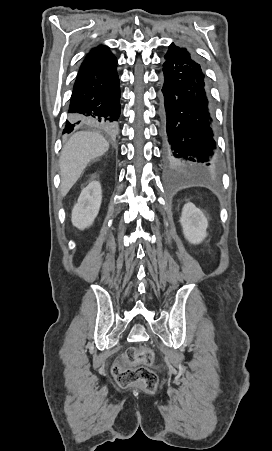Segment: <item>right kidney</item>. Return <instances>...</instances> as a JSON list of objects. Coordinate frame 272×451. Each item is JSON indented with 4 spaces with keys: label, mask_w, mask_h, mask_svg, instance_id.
<instances>
[{
    "label": "right kidney",
    "mask_w": 272,
    "mask_h": 451,
    "mask_svg": "<svg viewBox=\"0 0 272 451\" xmlns=\"http://www.w3.org/2000/svg\"><path fill=\"white\" fill-rule=\"evenodd\" d=\"M102 192L100 182H90L83 188L77 204L72 210L71 222L78 229L92 226L101 206Z\"/></svg>",
    "instance_id": "obj_1"
}]
</instances>
